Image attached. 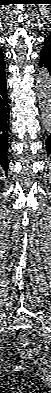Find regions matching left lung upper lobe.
<instances>
[{
	"instance_id": "5c2ea615",
	"label": "left lung upper lobe",
	"mask_w": 51,
	"mask_h": 393,
	"mask_svg": "<svg viewBox=\"0 0 51 393\" xmlns=\"http://www.w3.org/2000/svg\"><path fill=\"white\" fill-rule=\"evenodd\" d=\"M42 52L51 55V34L45 37L44 46L42 48Z\"/></svg>"
}]
</instances>
